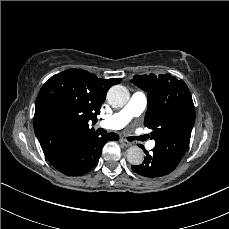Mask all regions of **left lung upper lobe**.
Wrapping results in <instances>:
<instances>
[{"label": "left lung upper lobe", "instance_id": "5c2ea615", "mask_svg": "<svg viewBox=\"0 0 229 229\" xmlns=\"http://www.w3.org/2000/svg\"><path fill=\"white\" fill-rule=\"evenodd\" d=\"M148 93L144 124L161 158L176 167L184 156L195 123V107L183 80L170 74L135 75L131 80Z\"/></svg>", "mask_w": 229, "mask_h": 229}]
</instances>
